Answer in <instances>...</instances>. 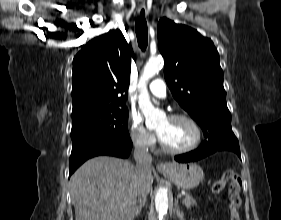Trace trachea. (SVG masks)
<instances>
[{
	"instance_id": "obj_1",
	"label": "trachea",
	"mask_w": 281,
	"mask_h": 220,
	"mask_svg": "<svg viewBox=\"0 0 281 220\" xmlns=\"http://www.w3.org/2000/svg\"><path fill=\"white\" fill-rule=\"evenodd\" d=\"M135 32L138 40L139 47L145 51L148 43L147 23L143 18H138L135 23Z\"/></svg>"
}]
</instances>
